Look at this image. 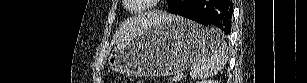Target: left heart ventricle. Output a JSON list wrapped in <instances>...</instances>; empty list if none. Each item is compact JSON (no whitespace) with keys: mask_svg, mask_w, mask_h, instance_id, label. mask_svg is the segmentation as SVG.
Returning a JSON list of instances; mask_svg holds the SVG:
<instances>
[{"mask_svg":"<svg viewBox=\"0 0 307 83\" xmlns=\"http://www.w3.org/2000/svg\"><path fill=\"white\" fill-rule=\"evenodd\" d=\"M133 3H136V2H133ZM130 8L133 9V10H137V9L141 8V5L131 4Z\"/></svg>","mask_w":307,"mask_h":83,"instance_id":"1","label":"left heart ventricle"}]
</instances>
